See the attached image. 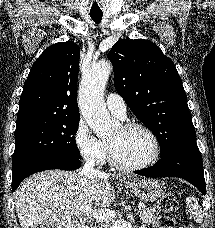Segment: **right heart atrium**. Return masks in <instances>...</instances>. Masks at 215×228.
I'll use <instances>...</instances> for the list:
<instances>
[{
  "label": "right heart atrium",
  "mask_w": 215,
  "mask_h": 228,
  "mask_svg": "<svg viewBox=\"0 0 215 228\" xmlns=\"http://www.w3.org/2000/svg\"><path fill=\"white\" fill-rule=\"evenodd\" d=\"M72 138L74 147L81 159L91 164L104 162L108 148L93 134L82 117L78 119Z\"/></svg>",
  "instance_id": "1"
}]
</instances>
